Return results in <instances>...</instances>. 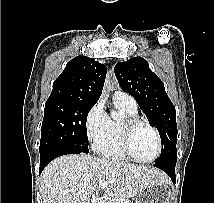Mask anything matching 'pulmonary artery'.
I'll list each match as a JSON object with an SVG mask.
<instances>
[{"label":"pulmonary artery","mask_w":214,"mask_h":203,"mask_svg":"<svg viewBox=\"0 0 214 203\" xmlns=\"http://www.w3.org/2000/svg\"><path fill=\"white\" fill-rule=\"evenodd\" d=\"M114 98L121 100L122 102H124L125 104H127L129 107L133 109L137 108V103L135 99L124 91L117 90L115 92Z\"/></svg>","instance_id":"e3ab8cb5"}]
</instances>
